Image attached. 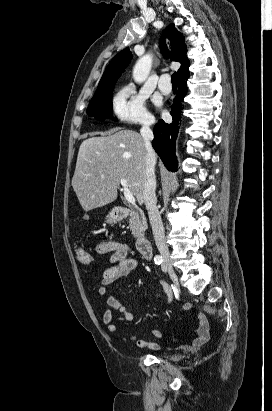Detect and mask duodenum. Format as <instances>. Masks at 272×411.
I'll return each instance as SVG.
<instances>
[{
	"instance_id": "duodenum-1",
	"label": "duodenum",
	"mask_w": 272,
	"mask_h": 411,
	"mask_svg": "<svg viewBox=\"0 0 272 411\" xmlns=\"http://www.w3.org/2000/svg\"><path fill=\"white\" fill-rule=\"evenodd\" d=\"M130 209L128 207H116L113 209L115 217L119 220L124 219L128 216ZM135 245L137 250L145 259H150L152 255V250L148 239L144 235H139L136 238Z\"/></svg>"
}]
</instances>
